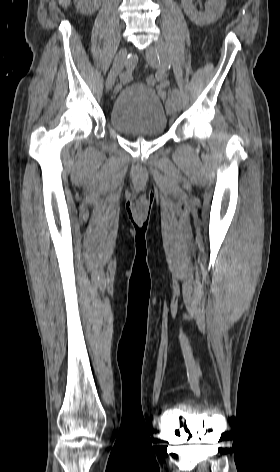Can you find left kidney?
Segmentation results:
<instances>
[{"label":"left kidney","mask_w":280,"mask_h":472,"mask_svg":"<svg viewBox=\"0 0 280 472\" xmlns=\"http://www.w3.org/2000/svg\"><path fill=\"white\" fill-rule=\"evenodd\" d=\"M225 0H208L205 3V12H198L192 0H182V7L186 15L196 25H206L216 22L223 13Z\"/></svg>","instance_id":"obj_1"}]
</instances>
